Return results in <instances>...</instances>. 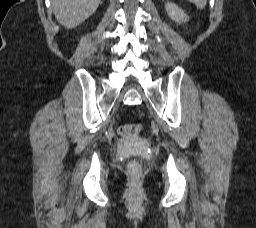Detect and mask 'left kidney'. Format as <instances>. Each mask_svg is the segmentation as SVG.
Returning a JSON list of instances; mask_svg holds the SVG:
<instances>
[{"instance_id": "left-kidney-1", "label": "left kidney", "mask_w": 256, "mask_h": 228, "mask_svg": "<svg viewBox=\"0 0 256 228\" xmlns=\"http://www.w3.org/2000/svg\"><path fill=\"white\" fill-rule=\"evenodd\" d=\"M165 8H166L167 14L171 17V19L174 22L181 24L188 21L189 19L188 16L176 4L168 2L165 4Z\"/></svg>"}]
</instances>
